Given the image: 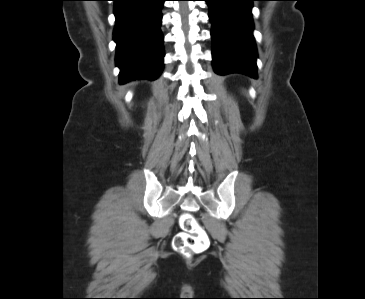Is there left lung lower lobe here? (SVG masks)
<instances>
[{
	"mask_svg": "<svg viewBox=\"0 0 365 299\" xmlns=\"http://www.w3.org/2000/svg\"><path fill=\"white\" fill-rule=\"evenodd\" d=\"M212 23L213 67L217 74L257 78V50L251 8L256 0H205Z\"/></svg>",
	"mask_w": 365,
	"mask_h": 299,
	"instance_id": "1",
	"label": "left lung lower lobe"
}]
</instances>
